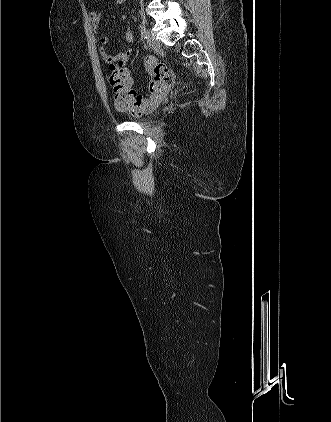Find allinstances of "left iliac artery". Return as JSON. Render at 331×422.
I'll return each mask as SVG.
<instances>
[{"mask_svg": "<svg viewBox=\"0 0 331 422\" xmlns=\"http://www.w3.org/2000/svg\"><path fill=\"white\" fill-rule=\"evenodd\" d=\"M139 31H140L141 37L146 38L147 28L143 24L139 25Z\"/></svg>", "mask_w": 331, "mask_h": 422, "instance_id": "1", "label": "left iliac artery"}]
</instances>
